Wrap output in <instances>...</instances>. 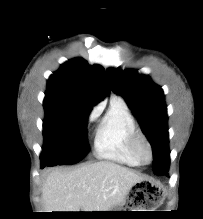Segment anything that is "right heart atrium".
Listing matches in <instances>:
<instances>
[{
    "label": "right heart atrium",
    "mask_w": 203,
    "mask_h": 219,
    "mask_svg": "<svg viewBox=\"0 0 203 219\" xmlns=\"http://www.w3.org/2000/svg\"><path fill=\"white\" fill-rule=\"evenodd\" d=\"M98 114H99V109L98 108H94L92 110V112L90 113V115H89V119L93 120L94 118H96L98 116Z\"/></svg>",
    "instance_id": "obj_1"
}]
</instances>
